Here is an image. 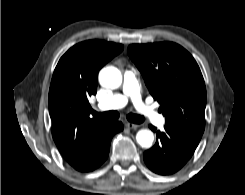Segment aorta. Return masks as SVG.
Segmentation results:
<instances>
[{"mask_svg":"<svg viewBox=\"0 0 245 195\" xmlns=\"http://www.w3.org/2000/svg\"><path fill=\"white\" fill-rule=\"evenodd\" d=\"M99 82L103 87L117 89L122 84L121 72L113 66L105 67L99 73ZM136 140L142 148H150L154 141V135L152 131L142 129L137 132Z\"/></svg>","mask_w":245,"mask_h":195,"instance_id":"1","label":"aorta"}]
</instances>
